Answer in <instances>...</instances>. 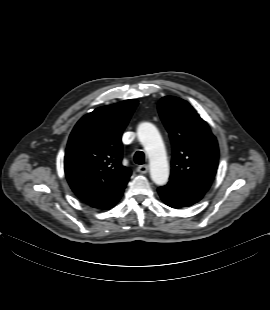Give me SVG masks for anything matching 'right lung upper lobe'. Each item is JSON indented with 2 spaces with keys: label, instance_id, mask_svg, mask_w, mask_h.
I'll use <instances>...</instances> for the list:
<instances>
[{
  "label": "right lung upper lobe",
  "instance_id": "cb5924a9",
  "mask_svg": "<svg viewBox=\"0 0 270 310\" xmlns=\"http://www.w3.org/2000/svg\"><path fill=\"white\" fill-rule=\"evenodd\" d=\"M138 101L103 106L83 116L70 134L65 174L72 191L91 205L125 185L131 175L122 165V132Z\"/></svg>",
  "mask_w": 270,
  "mask_h": 310
}]
</instances>
